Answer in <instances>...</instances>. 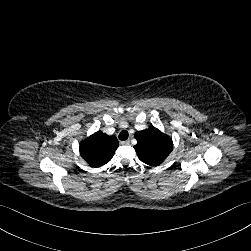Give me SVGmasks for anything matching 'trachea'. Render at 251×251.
<instances>
[{
	"label": "trachea",
	"instance_id": "trachea-1",
	"mask_svg": "<svg viewBox=\"0 0 251 251\" xmlns=\"http://www.w3.org/2000/svg\"><path fill=\"white\" fill-rule=\"evenodd\" d=\"M128 136H129V133L126 130H123L120 132L118 137L120 140L124 141V140H127Z\"/></svg>",
	"mask_w": 251,
	"mask_h": 251
}]
</instances>
